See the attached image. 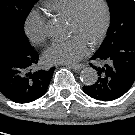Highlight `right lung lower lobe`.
Segmentation results:
<instances>
[{
	"mask_svg": "<svg viewBox=\"0 0 135 135\" xmlns=\"http://www.w3.org/2000/svg\"><path fill=\"white\" fill-rule=\"evenodd\" d=\"M38 53L12 32L0 30V92L16 103L43 96L55 68L34 71Z\"/></svg>",
	"mask_w": 135,
	"mask_h": 135,
	"instance_id": "98d812e1",
	"label": "right lung lower lobe"
}]
</instances>
